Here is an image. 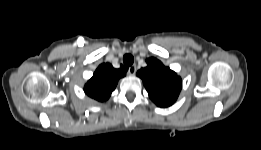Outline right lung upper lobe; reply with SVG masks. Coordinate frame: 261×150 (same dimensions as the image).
Segmentation results:
<instances>
[{
	"label": "right lung upper lobe",
	"mask_w": 261,
	"mask_h": 150,
	"mask_svg": "<svg viewBox=\"0 0 261 150\" xmlns=\"http://www.w3.org/2000/svg\"><path fill=\"white\" fill-rule=\"evenodd\" d=\"M125 76L121 69H114L111 64H101L93 74V77L84 87L85 93L98 100H107L114 91L118 80Z\"/></svg>",
	"instance_id": "1"
}]
</instances>
